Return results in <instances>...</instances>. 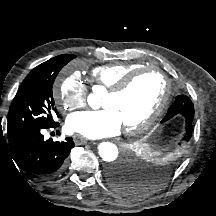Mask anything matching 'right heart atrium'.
<instances>
[{
  "mask_svg": "<svg viewBox=\"0 0 216 216\" xmlns=\"http://www.w3.org/2000/svg\"><path fill=\"white\" fill-rule=\"evenodd\" d=\"M88 95L85 83L72 74L64 78L54 91V100L63 110H74L84 107Z\"/></svg>",
  "mask_w": 216,
  "mask_h": 216,
  "instance_id": "d8ad5b80",
  "label": "right heart atrium"
}]
</instances>
